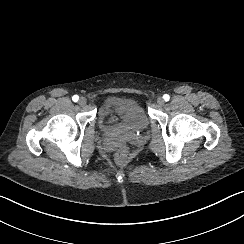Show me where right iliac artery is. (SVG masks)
<instances>
[{
	"instance_id": "right-iliac-artery-1",
	"label": "right iliac artery",
	"mask_w": 244,
	"mask_h": 244,
	"mask_svg": "<svg viewBox=\"0 0 244 244\" xmlns=\"http://www.w3.org/2000/svg\"><path fill=\"white\" fill-rule=\"evenodd\" d=\"M78 99H79V97H78L77 95H74V96L72 97V100H73L74 102H77Z\"/></svg>"
}]
</instances>
